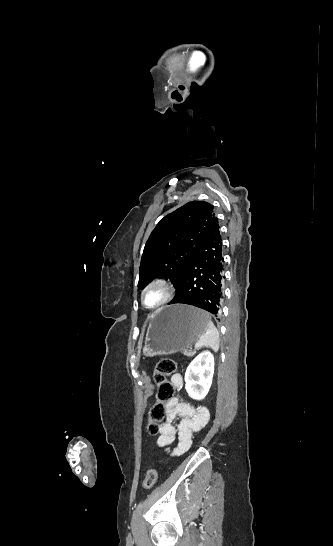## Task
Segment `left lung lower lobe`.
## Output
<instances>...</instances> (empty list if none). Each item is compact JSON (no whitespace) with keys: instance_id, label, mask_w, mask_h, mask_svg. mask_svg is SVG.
Instances as JSON below:
<instances>
[{"instance_id":"obj_1","label":"left lung lower lobe","mask_w":333,"mask_h":546,"mask_svg":"<svg viewBox=\"0 0 333 546\" xmlns=\"http://www.w3.org/2000/svg\"><path fill=\"white\" fill-rule=\"evenodd\" d=\"M223 262L219 223L215 219L201 239L194 260L169 304L193 305L218 317L223 299Z\"/></svg>"}]
</instances>
